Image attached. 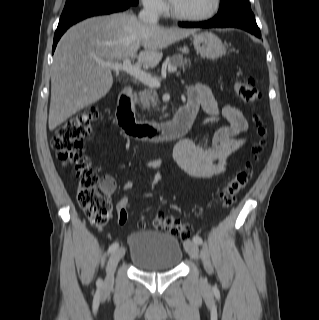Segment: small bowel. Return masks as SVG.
<instances>
[{
  "label": "small bowel",
  "instance_id": "1",
  "mask_svg": "<svg viewBox=\"0 0 319 320\" xmlns=\"http://www.w3.org/2000/svg\"><path fill=\"white\" fill-rule=\"evenodd\" d=\"M195 113L202 109L209 116H222L228 125L220 127L212 137L211 146L203 148L190 139H182L173 149L176 164L188 175L195 178H212L222 174L226 169L228 158L245 143L244 134L248 122L242 112L235 106L227 105L219 108L211 89L204 84L192 86L188 91L186 103ZM146 168H162L159 161H148ZM161 175L155 181H160ZM134 182L127 180L122 183L123 191H130ZM128 210V199L121 198L117 203V213Z\"/></svg>",
  "mask_w": 319,
  "mask_h": 320
}]
</instances>
